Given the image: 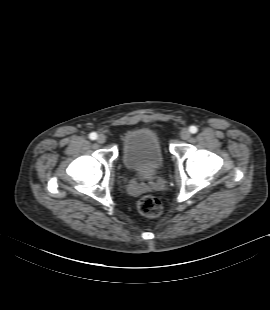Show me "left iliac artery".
Listing matches in <instances>:
<instances>
[{
    "label": "left iliac artery",
    "mask_w": 270,
    "mask_h": 310,
    "mask_svg": "<svg viewBox=\"0 0 270 310\" xmlns=\"http://www.w3.org/2000/svg\"><path fill=\"white\" fill-rule=\"evenodd\" d=\"M189 130H190V132L191 133H196L197 131H198V129H197V127L196 126H191L190 128H189Z\"/></svg>",
    "instance_id": "44dca946"
}]
</instances>
